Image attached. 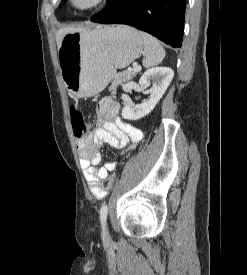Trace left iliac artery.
<instances>
[{
  "mask_svg": "<svg viewBox=\"0 0 247 275\" xmlns=\"http://www.w3.org/2000/svg\"><path fill=\"white\" fill-rule=\"evenodd\" d=\"M107 214H108V206H107V204H103L100 209V220H101L103 231H104L105 225H106Z\"/></svg>",
  "mask_w": 247,
  "mask_h": 275,
  "instance_id": "obj_1",
  "label": "left iliac artery"
}]
</instances>
